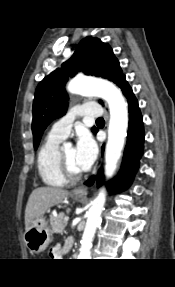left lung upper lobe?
Listing matches in <instances>:
<instances>
[{
	"mask_svg": "<svg viewBox=\"0 0 175 287\" xmlns=\"http://www.w3.org/2000/svg\"><path fill=\"white\" fill-rule=\"evenodd\" d=\"M80 70L86 75L108 79L122 91L129 86L112 48L98 38H84L72 57L46 76L36 88L32 121L35 149L48 124L65 114L68 105L65 84L68 77H73ZM92 131L96 132V129L92 128Z\"/></svg>",
	"mask_w": 175,
	"mask_h": 287,
	"instance_id": "left-lung-upper-lobe-1",
	"label": "left lung upper lobe"
}]
</instances>
